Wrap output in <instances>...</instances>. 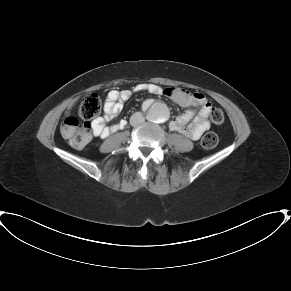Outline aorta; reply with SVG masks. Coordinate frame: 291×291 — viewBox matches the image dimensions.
I'll list each match as a JSON object with an SVG mask.
<instances>
[{"mask_svg": "<svg viewBox=\"0 0 291 291\" xmlns=\"http://www.w3.org/2000/svg\"><path fill=\"white\" fill-rule=\"evenodd\" d=\"M169 117V110L163 103H154L148 111V119L155 123H163Z\"/></svg>", "mask_w": 291, "mask_h": 291, "instance_id": "762f6f07", "label": "aorta"}]
</instances>
